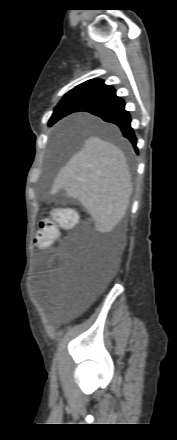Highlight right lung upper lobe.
<instances>
[{"instance_id": "1", "label": "right lung upper lobe", "mask_w": 177, "mask_h": 440, "mask_svg": "<svg viewBox=\"0 0 177 440\" xmlns=\"http://www.w3.org/2000/svg\"><path fill=\"white\" fill-rule=\"evenodd\" d=\"M69 92L81 96L91 97L95 100V102L115 94V90L111 86L105 85L104 82L100 79L88 80L76 86L74 89H72ZM59 119L55 117V115H52L49 124H54Z\"/></svg>"}]
</instances>
